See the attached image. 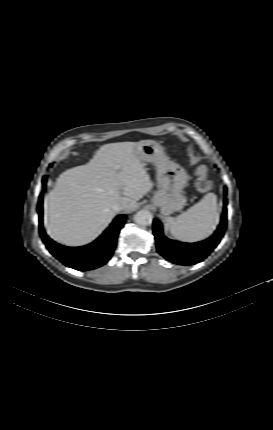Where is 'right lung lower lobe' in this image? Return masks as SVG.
<instances>
[{"instance_id": "98d812e1", "label": "right lung lower lobe", "mask_w": 273, "mask_h": 430, "mask_svg": "<svg viewBox=\"0 0 273 430\" xmlns=\"http://www.w3.org/2000/svg\"><path fill=\"white\" fill-rule=\"evenodd\" d=\"M43 187L46 185V177L42 179ZM43 194L39 195L38 214L39 232L43 242L52 255L67 267L87 271L104 265L112 256L116 247L117 236L125 223L126 216L116 217L110 227L93 243L83 247H66L50 239L43 228Z\"/></svg>"}]
</instances>
